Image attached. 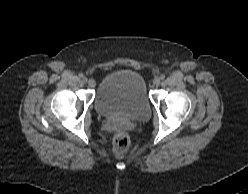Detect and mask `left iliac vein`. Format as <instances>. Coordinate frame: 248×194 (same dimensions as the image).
I'll return each mask as SVG.
<instances>
[{
	"label": "left iliac vein",
	"instance_id": "obj_1",
	"mask_svg": "<svg viewBox=\"0 0 248 194\" xmlns=\"http://www.w3.org/2000/svg\"><path fill=\"white\" fill-rule=\"evenodd\" d=\"M160 83H161L160 78H155V79H154V85H155V86H159Z\"/></svg>",
	"mask_w": 248,
	"mask_h": 194
}]
</instances>
